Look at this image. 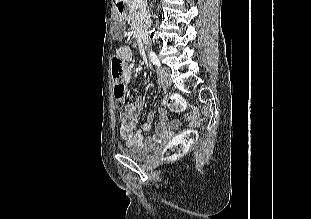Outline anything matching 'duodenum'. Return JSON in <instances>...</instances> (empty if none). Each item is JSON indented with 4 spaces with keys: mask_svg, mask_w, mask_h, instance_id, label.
Segmentation results:
<instances>
[{
    "mask_svg": "<svg viewBox=\"0 0 311 219\" xmlns=\"http://www.w3.org/2000/svg\"><path fill=\"white\" fill-rule=\"evenodd\" d=\"M126 11H127L126 5H125L124 3H120V4L118 5V7H117V12H118L119 14H124ZM143 42H144L143 37H140L139 43L142 45Z\"/></svg>",
    "mask_w": 311,
    "mask_h": 219,
    "instance_id": "410a0bca",
    "label": "duodenum"
}]
</instances>
